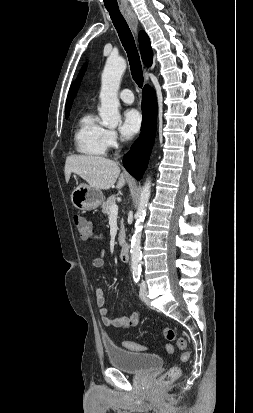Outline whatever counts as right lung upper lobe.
<instances>
[{"label": "right lung upper lobe", "instance_id": "right-lung-upper-lobe-1", "mask_svg": "<svg viewBox=\"0 0 253 413\" xmlns=\"http://www.w3.org/2000/svg\"><path fill=\"white\" fill-rule=\"evenodd\" d=\"M139 46H140L141 56H142V60L144 64L146 66H151L153 54H152V49L150 46L149 37L144 31H141L139 33ZM70 107H71V92H69L67 101H66L65 116L69 115Z\"/></svg>", "mask_w": 253, "mask_h": 413}]
</instances>
